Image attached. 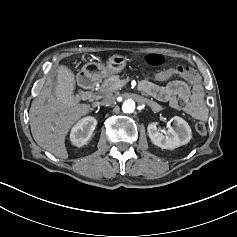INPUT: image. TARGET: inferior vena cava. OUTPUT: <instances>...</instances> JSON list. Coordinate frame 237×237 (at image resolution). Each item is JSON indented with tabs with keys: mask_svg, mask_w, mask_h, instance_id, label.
Instances as JSON below:
<instances>
[{
	"mask_svg": "<svg viewBox=\"0 0 237 237\" xmlns=\"http://www.w3.org/2000/svg\"><path fill=\"white\" fill-rule=\"evenodd\" d=\"M116 102V97L108 95L102 100L103 106H110Z\"/></svg>",
	"mask_w": 237,
	"mask_h": 237,
	"instance_id": "obj_1",
	"label": "inferior vena cava"
}]
</instances>
